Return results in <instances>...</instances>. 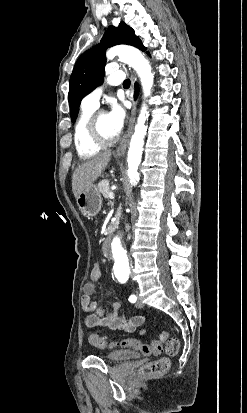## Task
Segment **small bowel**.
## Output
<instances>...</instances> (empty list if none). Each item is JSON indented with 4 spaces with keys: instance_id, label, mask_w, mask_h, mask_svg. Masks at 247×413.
I'll return each mask as SVG.
<instances>
[{
    "instance_id": "c3829d8e",
    "label": "small bowel",
    "mask_w": 247,
    "mask_h": 413,
    "mask_svg": "<svg viewBox=\"0 0 247 413\" xmlns=\"http://www.w3.org/2000/svg\"><path fill=\"white\" fill-rule=\"evenodd\" d=\"M97 282H86L83 287L81 303L86 317L84 320L88 328H109L113 331L134 332L145 322V317L137 315L129 318L126 313L120 312V304L112 303V311L106 312L97 301L93 299ZM139 336H146V331H139Z\"/></svg>"
}]
</instances>
